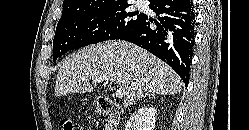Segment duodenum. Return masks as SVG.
I'll use <instances>...</instances> for the list:
<instances>
[{
  "instance_id": "1",
  "label": "duodenum",
  "mask_w": 249,
  "mask_h": 130,
  "mask_svg": "<svg viewBox=\"0 0 249 130\" xmlns=\"http://www.w3.org/2000/svg\"><path fill=\"white\" fill-rule=\"evenodd\" d=\"M99 110L107 116L106 130H117L122 109L108 97H99L97 100Z\"/></svg>"
}]
</instances>
